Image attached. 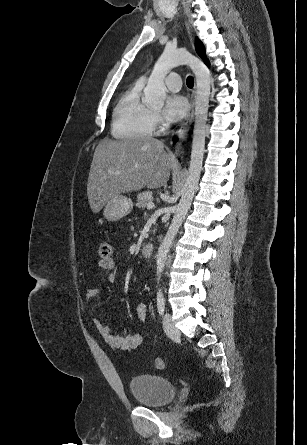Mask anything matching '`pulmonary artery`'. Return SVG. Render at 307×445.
I'll list each match as a JSON object with an SVG mask.
<instances>
[{
  "instance_id": "obj_1",
  "label": "pulmonary artery",
  "mask_w": 307,
  "mask_h": 445,
  "mask_svg": "<svg viewBox=\"0 0 307 445\" xmlns=\"http://www.w3.org/2000/svg\"><path fill=\"white\" fill-rule=\"evenodd\" d=\"M181 79L182 73L179 70H173L169 73L166 84L171 90L177 91L181 88Z\"/></svg>"
}]
</instances>
